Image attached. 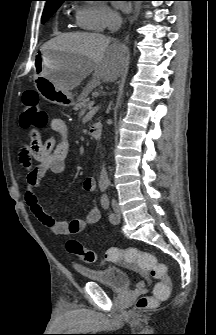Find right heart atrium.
Segmentation results:
<instances>
[{"label": "right heart atrium", "mask_w": 216, "mask_h": 335, "mask_svg": "<svg viewBox=\"0 0 216 335\" xmlns=\"http://www.w3.org/2000/svg\"><path fill=\"white\" fill-rule=\"evenodd\" d=\"M77 23L84 29L103 31L106 25L120 20L119 15L104 4H84L76 11Z\"/></svg>", "instance_id": "1"}]
</instances>
